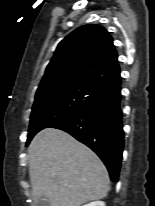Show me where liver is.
I'll use <instances>...</instances> for the list:
<instances>
[{
  "instance_id": "6515ba94",
  "label": "liver",
  "mask_w": 155,
  "mask_h": 206,
  "mask_svg": "<svg viewBox=\"0 0 155 206\" xmlns=\"http://www.w3.org/2000/svg\"><path fill=\"white\" fill-rule=\"evenodd\" d=\"M35 204L44 197L50 206H81L106 197L109 175L99 157L68 133L46 128L28 149Z\"/></svg>"
}]
</instances>
